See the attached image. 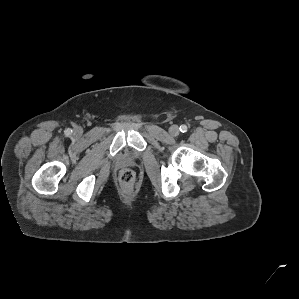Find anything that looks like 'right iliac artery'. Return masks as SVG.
Returning <instances> with one entry per match:
<instances>
[{
	"mask_svg": "<svg viewBox=\"0 0 299 299\" xmlns=\"http://www.w3.org/2000/svg\"><path fill=\"white\" fill-rule=\"evenodd\" d=\"M66 134L67 135L71 134V130L70 129L66 130Z\"/></svg>",
	"mask_w": 299,
	"mask_h": 299,
	"instance_id": "obj_1",
	"label": "right iliac artery"
}]
</instances>
